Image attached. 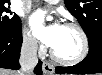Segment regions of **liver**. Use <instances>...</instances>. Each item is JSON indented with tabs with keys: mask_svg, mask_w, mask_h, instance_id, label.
<instances>
[{
	"mask_svg": "<svg viewBox=\"0 0 102 75\" xmlns=\"http://www.w3.org/2000/svg\"><path fill=\"white\" fill-rule=\"evenodd\" d=\"M0 75H20L17 71H11V70H3L1 69Z\"/></svg>",
	"mask_w": 102,
	"mask_h": 75,
	"instance_id": "1",
	"label": "liver"
}]
</instances>
